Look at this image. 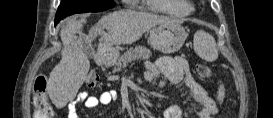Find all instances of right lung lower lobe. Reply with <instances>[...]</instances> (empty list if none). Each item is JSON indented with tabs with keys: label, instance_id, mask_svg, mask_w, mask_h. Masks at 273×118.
<instances>
[{
	"label": "right lung lower lobe",
	"instance_id": "1",
	"mask_svg": "<svg viewBox=\"0 0 273 118\" xmlns=\"http://www.w3.org/2000/svg\"><path fill=\"white\" fill-rule=\"evenodd\" d=\"M64 17H66V16L56 15L55 16V25H57L60 22V20H62Z\"/></svg>",
	"mask_w": 273,
	"mask_h": 118
}]
</instances>
